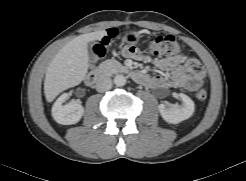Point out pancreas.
I'll list each match as a JSON object with an SVG mask.
<instances>
[{"instance_id": "1", "label": "pancreas", "mask_w": 246, "mask_h": 181, "mask_svg": "<svg viewBox=\"0 0 246 181\" xmlns=\"http://www.w3.org/2000/svg\"><path fill=\"white\" fill-rule=\"evenodd\" d=\"M99 68L102 73L107 75L116 74L126 70V68L120 62L114 59H108L102 62Z\"/></svg>"}]
</instances>
